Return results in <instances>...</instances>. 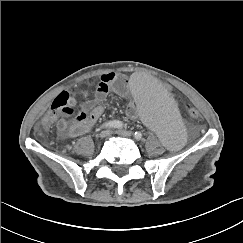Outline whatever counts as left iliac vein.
Wrapping results in <instances>:
<instances>
[{"label":"left iliac vein","instance_id":"left-iliac-vein-1","mask_svg":"<svg viewBox=\"0 0 243 243\" xmlns=\"http://www.w3.org/2000/svg\"><path fill=\"white\" fill-rule=\"evenodd\" d=\"M116 133L120 136H123V137H131L132 136V132L127 131V130H123V129L117 130Z\"/></svg>","mask_w":243,"mask_h":243}]
</instances>
